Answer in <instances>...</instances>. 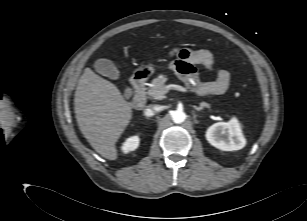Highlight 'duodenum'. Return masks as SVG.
<instances>
[{
  "instance_id": "duodenum-1",
  "label": "duodenum",
  "mask_w": 307,
  "mask_h": 221,
  "mask_svg": "<svg viewBox=\"0 0 307 221\" xmlns=\"http://www.w3.org/2000/svg\"><path fill=\"white\" fill-rule=\"evenodd\" d=\"M151 73L147 70H140L133 73L131 76L132 84L135 87V94L132 100V106L136 110H141L146 104L147 100V85Z\"/></svg>"
}]
</instances>
